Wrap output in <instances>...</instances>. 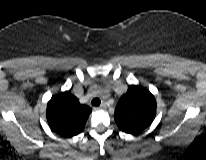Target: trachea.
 Here are the masks:
<instances>
[{
  "mask_svg": "<svg viewBox=\"0 0 206 160\" xmlns=\"http://www.w3.org/2000/svg\"><path fill=\"white\" fill-rule=\"evenodd\" d=\"M101 103L100 99L99 98H93L92 101H91V104L93 106H99Z\"/></svg>",
  "mask_w": 206,
  "mask_h": 160,
  "instance_id": "obj_1",
  "label": "trachea"
}]
</instances>
